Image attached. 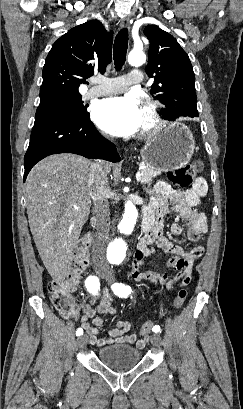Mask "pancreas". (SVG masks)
<instances>
[{"instance_id":"obj_1","label":"pancreas","mask_w":243,"mask_h":409,"mask_svg":"<svg viewBox=\"0 0 243 409\" xmlns=\"http://www.w3.org/2000/svg\"><path fill=\"white\" fill-rule=\"evenodd\" d=\"M141 183L147 184L152 181L154 177L160 174V171L152 169L150 167H145L141 171Z\"/></svg>"}]
</instances>
